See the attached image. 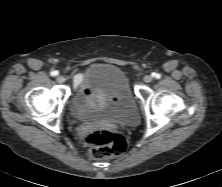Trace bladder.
I'll use <instances>...</instances> for the list:
<instances>
[{"instance_id": "31cf9c89", "label": "bladder", "mask_w": 222, "mask_h": 187, "mask_svg": "<svg viewBox=\"0 0 222 187\" xmlns=\"http://www.w3.org/2000/svg\"><path fill=\"white\" fill-rule=\"evenodd\" d=\"M68 109L77 122L103 120L114 125H134L139 120L126 74L109 63L94 64L85 71Z\"/></svg>"}]
</instances>
